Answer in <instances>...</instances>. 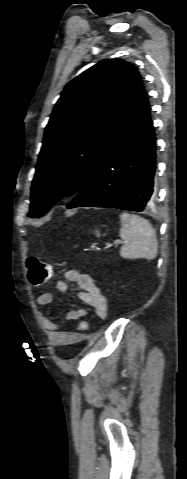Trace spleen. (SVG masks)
I'll return each mask as SVG.
<instances>
[{
  "mask_svg": "<svg viewBox=\"0 0 187 479\" xmlns=\"http://www.w3.org/2000/svg\"><path fill=\"white\" fill-rule=\"evenodd\" d=\"M120 237L124 241L120 256L125 259L153 260L158 253V242L154 228L148 220L135 214L120 215Z\"/></svg>",
  "mask_w": 187,
  "mask_h": 479,
  "instance_id": "3e777b00",
  "label": "spleen"
}]
</instances>
